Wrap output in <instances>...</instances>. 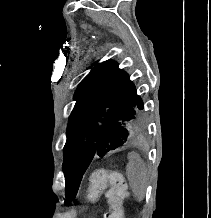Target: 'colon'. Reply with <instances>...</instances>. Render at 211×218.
I'll list each match as a JSON object with an SVG mask.
<instances>
[{"label":"colon","mask_w":211,"mask_h":218,"mask_svg":"<svg viewBox=\"0 0 211 218\" xmlns=\"http://www.w3.org/2000/svg\"><path fill=\"white\" fill-rule=\"evenodd\" d=\"M103 194L109 204V210L103 218H124L123 203L128 193L123 175L119 171L97 169L90 173L87 200L95 203Z\"/></svg>","instance_id":"obj_1"}]
</instances>
